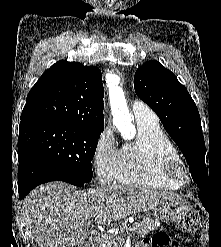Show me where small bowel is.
I'll return each mask as SVG.
<instances>
[{
	"label": "small bowel",
	"instance_id": "obj_1",
	"mask_svg": "<svg viewBox=\"0 0 221 247\" xmlns=\"http://www.w3.org/2000/svg\"><path fill=\"white\" fill-rule=\"evenodd\" d=\"M138 247H152L149 242H144L138 245Z\"/></svg>",
	"mask_w": 221,
	"mask_h": 247
}]
</instances>
